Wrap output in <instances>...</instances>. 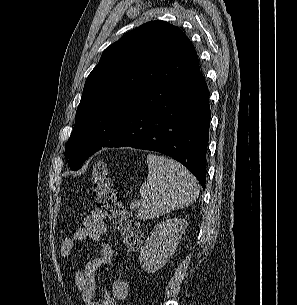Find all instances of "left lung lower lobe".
Segmentation results:
<instances>
[{
  "label": "left lung lower lobe",
  "mask_w": 297,
  "mask_h": 305,
  "mask_svg": "<svg viewBox=\"0 0 297 305\" xmlns=\"http://www.w3.org/2000/svg\"><path fill=\"white\" fill-rule=\"evenodd\" d=\"M209 123V91L198 70L151 88L103 147L130 146L166 154L205 188Z\"/></svg>",
  "instance_id": "0a47b994"
}]
</instances>
